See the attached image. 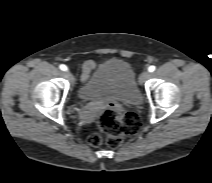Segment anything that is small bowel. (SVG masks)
I'll use <instances>...</instances> for the list:
<instances>
[{
    "instance_id": "obj_1",
    "label": "small bowel",
    "mask_w": 212,
    "mask_h": 183,
    "mask_svg": "<svg viewBox=\"0 0 212 183\" xmlns=\"http://www.w3.org/2000/svg\"><path fill=\"white\" fill-rule=\"evenodd\" d=\"M96 67V63L92 60L86 61L82 65V81H86L91 71Z\"/></svg>"
}]
</instances>
